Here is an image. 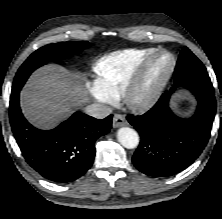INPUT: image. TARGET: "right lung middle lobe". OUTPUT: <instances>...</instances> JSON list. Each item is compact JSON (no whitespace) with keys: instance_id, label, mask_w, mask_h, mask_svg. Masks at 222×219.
Segmentation results:
<instances>
[{"instance_id":"1","label":"right lung middle lobe","mask_w":222,"mask_h":219,"mask_svg":"<svg viewBox=\"0 0 222 219\" xmlns=\"http://www.w3.org/2000/svg\"><path fill=\"white\" fill-rule=\"evenodd\" d=\"M87 45V41L61 42L39 48L19 68L13 82L12 92H19L29 75L38 67L51 60L75 54Z\"/></svg>"}]
</instances>
